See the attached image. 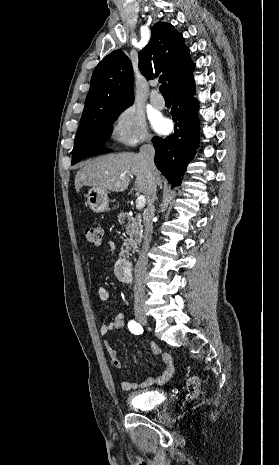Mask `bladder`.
Masks as SVG:
<instances>
[{
	"label": "bladder",
	"mask_w": 279,
	"mask_h": 465,
	"mask_svg": "<svg viewBox=\"0 0 279 465\" xmlns=\"http://www.w3.org/2000/svg\"><path fill=\"white\" fill-rule=\"evenodd\" d=\"M164 395L158 390H148L131 394L129 403L133 410L149 411L160 407L164 403Z\"/></svg>",
	"instance_id": "bladder-1"
}]
</instances>
